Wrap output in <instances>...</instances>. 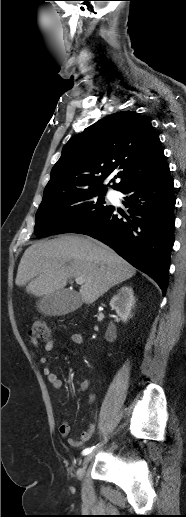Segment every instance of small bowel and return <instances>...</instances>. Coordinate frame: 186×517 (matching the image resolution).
I'll return each instance as SVG.
<instances>
[{"instance_id":"small-bowel-1","label":"small bowel","mask_w":186,"mask_h":517,"mask_svg":"<svg viewBox=\"0 0 186 517\" xmlns=\"http://www.w3.org/2000/svg\"><path fill=\"white\" fill-rule=\"evenodd\" d=\"M69 341L74 345H82L83 344V337L80 333H71L69 335ZM31 345L34 349H38L39 343L36 339L31 338L30 339ZM53 341L48 342L45 345V350L50 351L53 348ZM38 361L40 363H45L46 359L43 355L38 356ZM43 372L47 376L49 383L52 385L53 389L60 390L62 388V381L58 377L56 373H54L49 366L43 367ZM90 382L89 380H84L80 383L78 390L79 391H85L89 388ZM95 400V395L91 393L88 396V402L92 403ZM96 431V424L95 423H89L85 430L81 433L80 439L70 438V424L69 421L65 418L60 424L59 432L64 437L67 438V442L71 447H80L85 442L89 441L93 434Z\"/></svg>"}]
</instances>
